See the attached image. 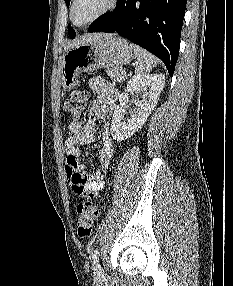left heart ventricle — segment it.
<instances>
[{
	"label": "left heart ventricle",
	"mask_w": 233,
	"mask_h": 286,
	"mask_svg": "<svg viewBox=\"0 0 233 286\" xmlns=\"http://www.w3.org/2000/svg\"><path fill=\"white\" fill-rule=\"evenodd\" d=\"M109 0H77L74 8V19L78 24L87 22L100 13Z\"/></svg>",
	"instance_id": "b2bd125f"
}]
</instances>
